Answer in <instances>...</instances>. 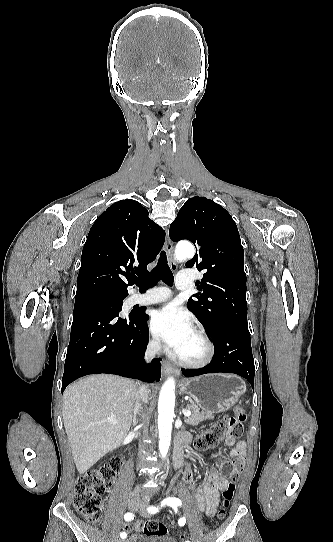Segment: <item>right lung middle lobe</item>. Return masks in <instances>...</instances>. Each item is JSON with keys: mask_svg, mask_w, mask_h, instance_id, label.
<instances>
[{"mask_svg": "<svg viewBox=\"0 0 333 542\" xmlns=\"http://www.w3.org/2000/svg\"><path fill=\"white\" fill-rule=\"evenodd\" d=\"M97 293H101L103 297H107L108 301L113 303L118 308V310L121 311L122 304H123L122 296L116 295L114 293H109V292H97Z\"/></svg>", "mask_w": 333, "mask_h": 542, "instance_id": "obj_1", "label": "right lung middle lobe"}]
</instances>
